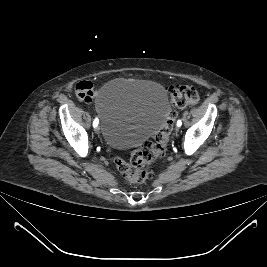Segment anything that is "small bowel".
I'll list each match as a JSON object with an SVG mask.
<instances>
[{
	"label": "small bowel",
	"instance_id": "obj_1",
	"mask_svg": "<svg viewBox=\"0 0 267 267\" xmlns=\"http://www.w3.org/2000/svg\"><path fill=\"white\" fill-rule=\"evenodd\" d=\"M76 95L79 99L83 101H91L94 92L93 86L88 81H81L75 86Z\"/></svg>",
	"mask_w": 267,
	"mask_h": 267
}]
</instances>
